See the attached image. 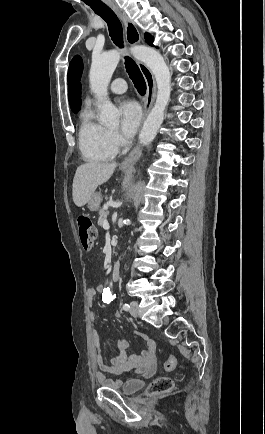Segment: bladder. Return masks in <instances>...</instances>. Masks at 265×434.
Masks as SVG:
<instances>
[{
  "label": "bladder",
  "mask_w": 265,
  "mask_h": 434,
  "mask_svg": "<svg viewBox=\"0 0 265 434\" xmlns=\"http://www.w3.org/2000/svg\"><path fill=\"white\" fill-rule=\"evenodd\" d=\"M143 387V383L139 380H128L121 386V393L127 396L136 394Z\"/></svg>",
  "instance_id": "obj_1"
}]
</instances>
